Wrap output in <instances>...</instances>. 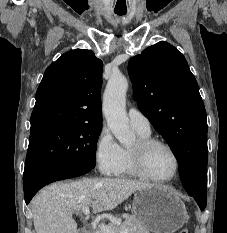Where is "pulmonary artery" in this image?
Segmentation results:
<instances>
[{
	"label": "pulmonary artery",
	"mask_w": 227,
	"mask_h": 233,
	"mask_svg": "<svg viewBox=\"0 0 227 233\" xmlns=\"http://www.w3.org/2000/svg\"><path fill=\"white\" fill-rule=\"evenodd\" d=\"M128 118L131 126L140 132L150 133L151 127L148 118L139 110L130 108L128 110Z\"/></svg>",
	"instance_id": "pulmonary-artery-1"
}]
</instances>
